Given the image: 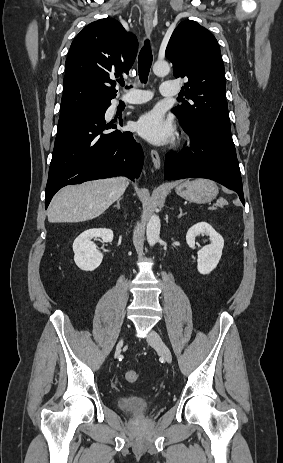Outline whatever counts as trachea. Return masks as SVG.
Here are the masks:
<instances>
[{
    "label": "trachea",
    "instance_id": "obj_1",
    "mask_svg": "<svg viewBox=\"0 0 283 463\" xmlns=\"http://www.w3.org/2000/svg\"><path fill=\"white\" fill-rule=\"evenodd\" d=\"M152 65V53L150 42L148 39L145 40L144 46L140 51L138 57V72H139V79L142 83H146L150 71V67ZM119 84L124 86V81H120ZM129 87L126 86V89Z\"/></svg>",
    "mask_w": 283,
    "mask_h": 463
}]
</instances>
